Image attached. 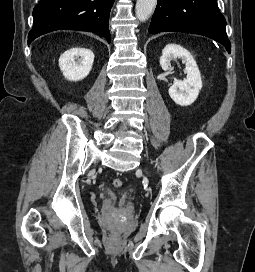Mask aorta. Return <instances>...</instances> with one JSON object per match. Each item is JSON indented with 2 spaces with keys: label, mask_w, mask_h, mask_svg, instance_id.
<instances>
[{
  "label": "aorta",
  "mask_w": 255,
  "mask_h": 272,
  "mask_svg": "<svg viewBox=\"0 0 255 272\" xmlns=\"http://www.w3.org/2000/svg\"><path fill=\"white\" fill-rule=\"evenodd\" d=\"M157 0H137L135 13L139 21L144 22L152 15Z\"/></svg>",
  "instance_id": "obj_1"
}]
</instances>
